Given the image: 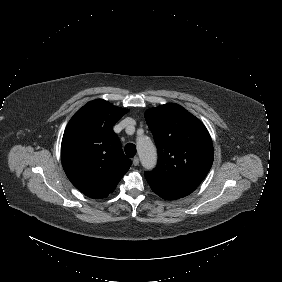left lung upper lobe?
I'll return each mask as SVG.
<instances>
[{"instance_id":"1","label":"left lung upper lobe","mask_w":282,"mask_h":282,"mask_svg":"<svg viewBox=\"0 0 282 282\" xmlns=\"http://www.w3.org/2000/svg\"><path fill=\"white\" fill-rule=\"evenodd\" d=\"M145 119L158 150V163L150 174L167 182L198 186L214 158L212 140L204 124L174 103L148 109Z\"/></svg>"}]
</instances>
